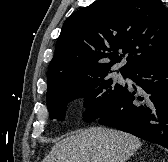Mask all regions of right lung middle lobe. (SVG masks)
<instances>
[{
  "mask_svg": "<svg viewBox=\"0 0 168 162\" xmlns=\"http://www.w3.org/2000/svg\"><path fill=\"white\" fill-rule=\"evenodd\" d=\"M109 72L91 73L76 79L57 82L47 89V107L50 119L63 121L67 102L85 98L87 108L84 121L99 118L112 104L124 86L108 78ZM127 77V73H121Z\"/></svg>",
  "mask_w": 168,
  "mask_h": 162,
  "instance_id": "1",
  "label": "right lung middle lobe"
}]
</instances>
